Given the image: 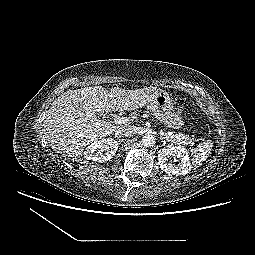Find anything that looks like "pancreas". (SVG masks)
<instances>
[{
    "instance_id": "cf45deb5",
    "label": "pancreas",
    "mask_w": 255,
    "mask_h": 255,
    "mask_svg": "<svg viewBox=\"0 0 255 255\" xmlns=\"http://www.w3.org/2000/svg\"><path fill=\"white\" fill-rule=\"evenodd\" d=\"M164 138L167 141H170L174 144H184V145H193L194 144V138H191L188 135L184 134H174L171 132L165 133Z\"/></svg>"
}]
</instances>
